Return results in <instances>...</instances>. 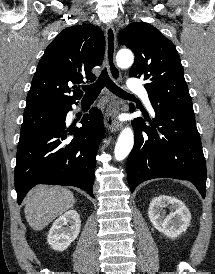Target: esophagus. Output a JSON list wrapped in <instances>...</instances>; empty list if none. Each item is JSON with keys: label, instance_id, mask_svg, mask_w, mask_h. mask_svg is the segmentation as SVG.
Here are the masks:
<instances>
[{"label": "esophagus", "instance_id": "esophagus-1", "mask_svg": "<svg viewBox=\"0 0 215 274\" xmlns=\"http://www.w3.org/2000/svg\"><path fill=\"white\" fill-rule=\"evenodd\" d=\"M106 38V66L109 75L115 82L121 81L120 71L115 63L116 33L112 25H108L105 32ZM108 105L105 113V126L110 132H117L121 129L122 123L117 119L121 112V102L115 100L108 94Z\"/></svg>", "mask_w": 215, "mask_h": 274}]
</instances>
